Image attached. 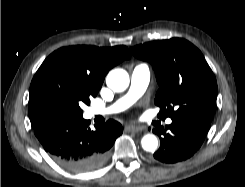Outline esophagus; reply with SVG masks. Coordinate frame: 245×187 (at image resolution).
Instances as JSON below:
<instances>
[{
	"label": "esophagus",
	"instance_id": "34e87169",
	"mask_svg": "<svg viewBox=\"0 0 245 187\" xmlns=\"http://www.w3.org/2000/svg\"><path fill=\"white\" fill-rule=\"evenodd\" d=\"M125 130L128 132L138 133L141 132L143 128L135 125H127L125 126Z\"/></svg>",
	"mask_w": 245,
	"mask_h": 187
}]
</instances>
